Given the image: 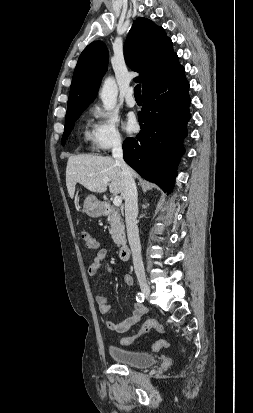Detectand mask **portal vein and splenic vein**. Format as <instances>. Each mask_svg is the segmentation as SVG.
<instances>
[{"label": "portal vein and splenic vein", "instance_id": "18ae733b", "mask_svg": "<svg viewBox=\"0 0 253 413\" xmlns=\"http://www.w3.org/2000/svg\"><path fill=\"white\" fill-rule=\"evenodd\" d=\"M104 182H108V179H105ZM115 206H120L122 204V198L120 196H115L113 200Z\"/></svg>", "mask_w": 253, "mask_h": 413}]
</instances>
